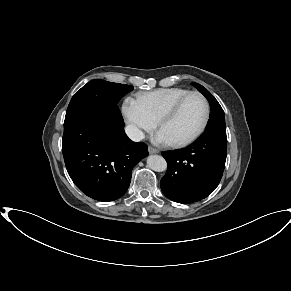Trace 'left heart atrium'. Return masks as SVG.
<instances>
[{
    "instance_id": "39dd6f15",
    "label": "left heart atrium",
    "mask_w": 291,
    "mask_h": 291,
    "mask_svg": "<svg viewBox=\"0 0 291 291\" xmlns=\"http://www.w3.org/2000/svg\"><path fill=\"white\" fill-rule=\"evenodd\" d=\"M154 141L156 143H161V144H168V143H170V141L166 138V136L161 131H159L156 134V136L154 138Z\"/></svg>"
}]
</instances>
